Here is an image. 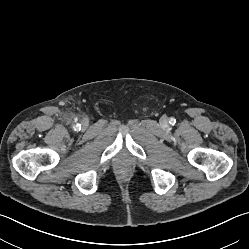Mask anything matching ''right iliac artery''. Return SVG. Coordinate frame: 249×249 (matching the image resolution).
<instances>
[{
	"instance_id": "obj_1",
	"label": "right iliac artery",
	"mask_w": 249,
	"mask_h": 249,
	"mask_svg": "<svg viewBox=\"0 0 249 249\" xmlns=\"http://www.w3.org/2000/svg\"><path fill=\"white\" fill-rule=\"evenodd\" d=\"M79 126H81V125H79V124L76 125V127H79Z\"/></svg>"
}]
</instances>
